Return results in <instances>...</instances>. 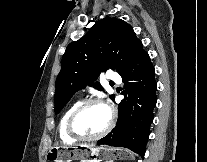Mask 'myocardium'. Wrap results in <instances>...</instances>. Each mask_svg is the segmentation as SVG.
<instances>
[{
	"label": "myocardium",
	"instance_id": "f54148a6",
	"mask_svg": "<svg viewBox=\"0 0 207 162\" xmlns=\"http://www.w3.org/2000/svg\"><path fill=\"white\" fill-rule=\"evenodd\" d=\"M93 104H100L103 105L107 108L108 112H109V120L108 123L106 125V127L98 134L96 135H83L81 133H79L76 129H75V122L76 119L78 118V116L86 109L88 108L90 105ZM114 120H115V110L103 99L95 97V98H89L87 100L82 101L69 115L67 122H66V131L67 134L75 139H79V140H97L100 139L102 137H104L105 135H107L110 130L113 127L114 124Z\"/></svg>",
	"mask_w": 207,
	"mask_h": 162
}]
</instances>
